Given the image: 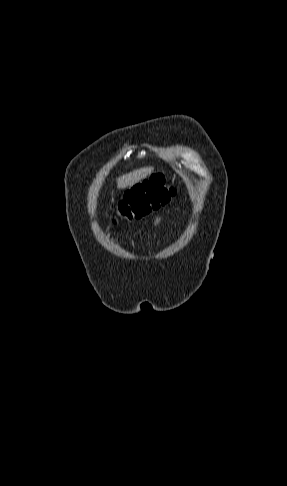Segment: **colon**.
I'll list each match as a JSON object with an SVG mask.
<instances>
[{"mask_svg": "<svg viewBox=\"0 0 287 486\" xmlns=\"http://www.w3.org/2000/svg\"><path fill=\"white\" fill-rule=\"evenodd\" d=\"M176 194V188L164 174H154L129 188L118 201L117 215L126 220L142 219L158 210Z\"/></svg>", "mask_w": 287, "mask_h": 486, "instance_id": "5ec220e1", "label": "colon"}]
</instances>
